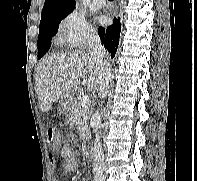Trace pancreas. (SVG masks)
<instances>
[{"mask_svg":"<svg viewBox=\"0 0 197 181\" xmlns=\"http://www.w3.org/2000/svg\"><path fill=\"white\" fill-rule=\"evenodd\" d=\"M69 120L77 126L80 140L86 141L89 139L88 117L87 110L81 107V103L73 104L69 112Z\"/></svg>","mask_w":197,"mask_h":181,"instance_id":"cf45deb5","label":"pancreas"}]
</instances>
